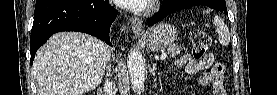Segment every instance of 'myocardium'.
I'll return each instance as SVG.
<instances>
[{"mask_svg":"<svg viewBox=\"0 0 277 95\" xmlns=\"http://www.w3.org/2000/svg\"><path fill=\"white\" fill-rule=\"evenodd\" d=\"M153 2H155V1H153ZM155 9H156L155 4H151V5L145 10V12H146V13H151V12H153Z\"/></svg>","mask_w":277,"mask_h":95,"instance_id":"f54148a6","label":"myocardium"}]
</instances>
